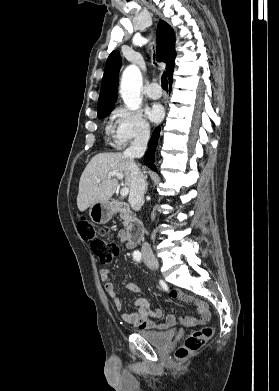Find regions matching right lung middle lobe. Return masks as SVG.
I'll list each match as a JSON object with an SVG mask.
<instances>
[{
  "label": "right lung middle lobe",
  "instance_id": "obj_1",
  "mask_svg": "<svg viewBox=\"0 0 279 391\" xmlns=\"http://www.w3.org/2000/svg\"><path fill=\"white\" fill-rule=\"evenodd\" d=\"M111 112V108L98 112V118H104Z\"/></svg>",
  "mask_w": 279,
  "mask_h": 391
}]
</instances>
